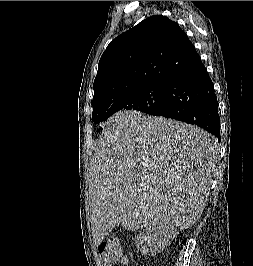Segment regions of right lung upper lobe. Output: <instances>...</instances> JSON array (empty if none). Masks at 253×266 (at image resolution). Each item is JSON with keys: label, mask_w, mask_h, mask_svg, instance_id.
Instances as JSON below:
<instances>
[{"label": "right lung upper lobe", "mask_w": 253, "mask_h": 266, "mask_svg": "<svg viewBox=\"0 0 253 266\" xmlns=\"http://www.w3.org/2000/svg\"><path fill=\"white\" fill-rule=\"evenodd\" d=\"M198 58L176 22L151 16L107 46L94 80L93 105L152 82H167Z\"/></svg>", "instance_id": "obj_1"}]
</instances>
